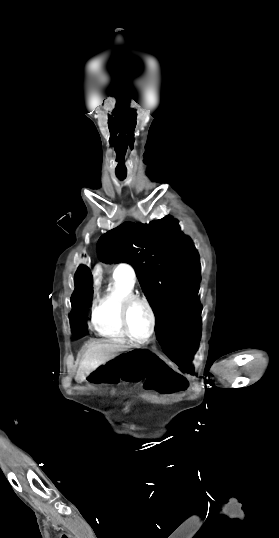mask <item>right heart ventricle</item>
Returning a JSON list of instances; mask_svg holds the SVG:
<instances>
[{
  "mask_svg": "<svg viewBox=\"0 0 279 538\" xmlns=\"http://www.w3.org/2000/svg\"><path fill=\"white\" fill-rule=\"evenodd\" d=\"M88 232L91 239L95 231ZM134 283L124 275L113 276L104 294L93 301L90 322L99 335L113 339L127 338L120 324L119 309L123 300L134 293Z\"/></svg>",
  "mask_w": 279,
  "mask_h": 538,
  "instance_id": "e07e8e85",
  "label": "right heart ventricle"
}]
</instances>
